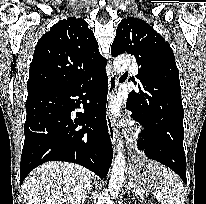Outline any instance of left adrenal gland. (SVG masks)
Wrapping results in <instances>:
<instances>
[{"mask_svg":"<svg viewBox=\"0 0 206 204\" xmlns=\"http://www.w3.org/2000/svg\"><path fill=\"white\" fill-rule=\"evenodd\" d=\"M129 190H130V188L127 186V187H126V191H128V193H129Z\"/></svg>","mask_w":206,"mask_h":204,"instance_id":"1","label":"left adrenal gland"}]
</instances>
